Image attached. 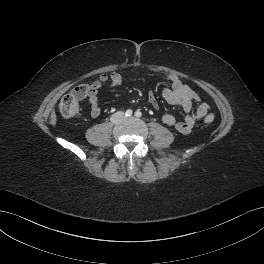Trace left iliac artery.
Masks as SVG:
<instances>
[{
  "label": "left iliac artery",
  "mask_w": 264,
  "mask_h": 264,
  "mask_svg": "<svg viewBox=\"0 0 264 264\" xmlns=\"http://www.w3.org/2000/svg\"><path fill=\"white\" fill-rule=\"evenodd\" d=\"M135 116H136V117H141V116H142V113H141L140 111H136V112H135Z\"/></svg>",
  "instance_id": "1"
}]
</instances>
